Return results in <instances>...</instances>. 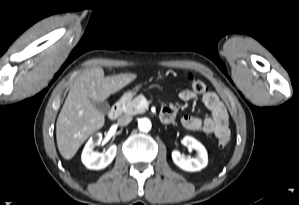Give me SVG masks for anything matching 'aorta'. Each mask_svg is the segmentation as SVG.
<instances>
[{"label":"aorta","instance_id":"762f6f07","mask_svg":"<svg viewBox=\"0 0 299 205\" xmlns=\"http://www.w3.org/2000/svg\"><path fill=\"white\" fill-rule=\"evenodd\" d=\"M151 121L147 118H142L138 121L140 131L148 132L151 129Z\"/></svg>","mask_w":299,"mask_h":205}]
</instances>
